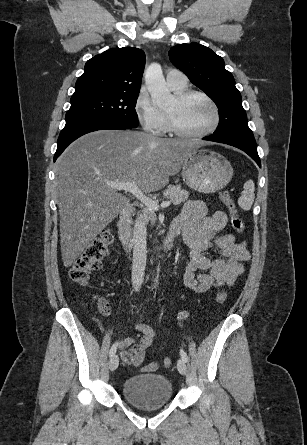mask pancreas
<instances>
[{"label":"pancreas","mask_w":307,"mask_h":445,"mask_svg":"<svg viewBox=\"0 0 307 445\" xmlns=\"http://www.w3.org/2000/svg\"><path fill=\"white\" fill-rule=\"evenodd\" d=\"M163 194L166 196V198H170L173 204L185 202L189 196L188 190L181 188L180 184H176V186L169 184L167 190H164ZM141 218L142 220H146V223H148V220H151L152 225H154V223H156L157 216L155 214V210H153V208H148L147 206V208H143Z\"/></svg>","instance_id":"1"}]
</instances>
